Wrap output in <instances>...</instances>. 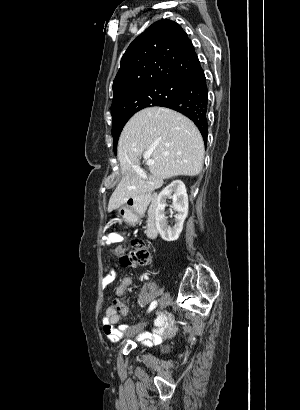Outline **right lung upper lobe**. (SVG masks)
Segmentation results:
<instances>
[{"mask_svg":"<svg viewBox=\"0 0 300 410\" xmlns=\"http://www.w3.org/2000/svg\"><path fill=\"white\" fill-rule=\"evenodd\" d=\"M194 47L181 26L159 20L127 48L113 82L112 116L136 90L161 84H185L200 68Z\"/></svg>","mask_w":300,"mask_h":410,"instance_id":"cb5924a9","label":"right lung upper lobe"}]
</instances>
